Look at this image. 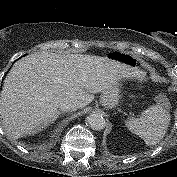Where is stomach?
I'll use <instances>...</instances> for the list:
<instances>
[{
	"mask_svg": "<svg viewBox=\"0 0 177 177\" xmlns=\"http://www.w3.org/2000/svg\"><path fill=\"white\" fill-rule=\"evenodd\" d=\"M110 57L111 59L118 60L130 66H135L138 61L136 56L130 53H125V52H114L110 54ZM120 98H121L120 85L116 83L109 89L102 92L100 101L103 106L107 108H114L118 105Z\"/></svg>",
	"mask_w": 177,
	"mask_h": 177,
	"instance_id": "1",
	"label": "stomach"
}]
</instances>
